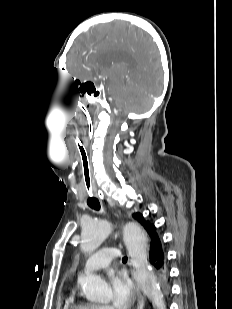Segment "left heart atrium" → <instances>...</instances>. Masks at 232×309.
Masks as SVG:
<instances>
[{
    "label": "left heart atrium",
    "instance_id": "obj_1",
    "mask_svg": "<svg viewBox=\"0 0 232 309\" xmlns=\"http://www.w3.org/2000/svg\"><path fill=\"white\" fill-rule=\"evenodd\" d=\"M112 302L117 309H126L136 299V291L132 282L121 272L109 275Z\"/></svg>",
    "mask_w": 232,
    "mask_h": 309
}]
</instances>
